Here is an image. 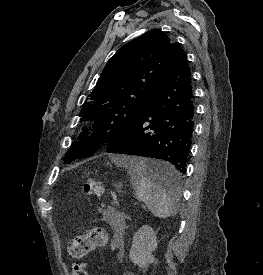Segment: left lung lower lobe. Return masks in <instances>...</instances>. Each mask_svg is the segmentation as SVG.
Returning <instances> with one entry per match:
<instances>
[{
	"mask_svg": "<svg viewBox=\"0 0 263 275\" xmlns=\"http://www.w3.org/2000/svg\"><path fill=\"white\" fill-rule=\"evenodd\" d=\"M194 125L191 73L185 52L178 49L145 111L129 132L107 145V152L171 163L169 169H147V174L172 191L186 173Z\"/></svg>",
	"mask_w": 263,
	"mask_h": 275,
	"instance_id": "1",
	"label": "left lung lower lobe"
}]
</instances>
